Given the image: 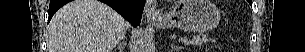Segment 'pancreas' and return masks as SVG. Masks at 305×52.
<instances>
[{"instance_id":"pancreas-1","label":"pancreas","mask_w":305,"mask_h":52,"mask_svg":"<svg viewBox=\"0 0 305 52\" xmlns=\"http://www.w3.org/2000/svg\"><path fill=\"white\" fill-rule=\"evenodd\" d=\"M208 42L215 43L216 40L209 38L208 35L199 34V35L193 36L192 40H190L188 43H190L192 45L200 46V45L208 43Z\"/></svg>"}]
</instances>
